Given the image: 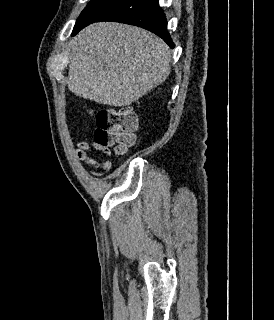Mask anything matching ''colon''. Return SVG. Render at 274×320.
<instances>
[{
  "label": "colon",
  "mask_w": 274,
  "mask_h": 320,
  "mask_svg": "<svg viewBox=\"0 0 274 320\" xmlns=\"http://www.w3.org/2000/svg\"><path fill=\"white\" fill-rule=\"evenodd\" d=\"M94 120L93 143H104V149H108L113 141L118 155L125 154L135 143L138 118L132 108L116 110L103 107L95 112Z\"/></svg>",
  "instance_id": "5ec220e1"
}]
</instances>
